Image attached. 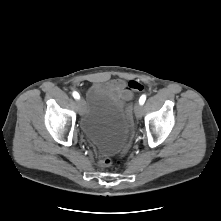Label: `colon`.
I'll list each match as a JSON object with an SVG mask.
<instances>
[{"label":"colon","instance_id":"5ec220e1","mask_svg":"<svg viewBox=\"0 0 221 221\" xmlns=\"http://www.w3.org/2000/svg\"><path fill=\"white\" fill-rule=\"evenodd\" d=\"M143 89H144L143 84L141 82L137 81V80H131L127 84V90L129 92H140ZM129 147H130V140L127 142V144H126V146L123 150L122 156L126 154ZM121 164H122L121 158H117L115 160L105 158V159H102L99 163V165L101 167H109V166L119 167V166H121Z\"/></svg>","mask_w":221,"mask_h":221}]
</instances>
